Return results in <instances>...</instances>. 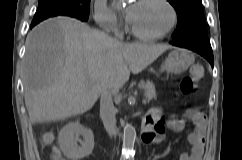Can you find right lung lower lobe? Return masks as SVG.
<instances>
[{
    "label": "right lung lower lobe",
    "instance_id": "obj_1",
    "mask_svg": "<svg viewBox=\"0 0 242 160\" xmlns=\"http://www.w3.org/2000/svg\"><path fill=\"white\" fill-rule=\"evenodd\" d=\"M36 24H31V28L33 27V26H35Z\"/></svg>",
    "mask_w": 242,
    "mask_h": 160
}]
</instances>
